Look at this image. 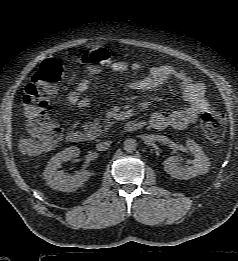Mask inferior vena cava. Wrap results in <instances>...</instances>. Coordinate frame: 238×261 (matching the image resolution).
I'll list each match as a JSON object with an SVG mask.
<instances>
[{
	"instance_id": "obj_1",
	"label": "inferior vena cava",
	"mask_w": 238,
	"mask_h": 261,
	"mask_svg": "<svg viewBox=\"0 0 238 261\" xmlns=\"http://www.w3.org/2000/svg\"><path fill=\"white\" fill-rule=\"evenodd\" d=\"M110 146V142L109 141H105V142H100L96 145V149L98 151H105L108 149V147Z\"/></svg>"
}]
</instances>
